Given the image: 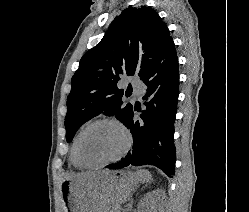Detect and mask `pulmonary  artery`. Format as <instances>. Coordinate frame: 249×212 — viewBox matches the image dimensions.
<instances>
[{
  "instance_id": "obj_1",
  "label": "pulmonary artery",
  "mask_w": 249,
  "mask_h": 212,
  "mask_svg": "<svg viewBox=\"0 0 249 212\" xmlns=\"http://www.w3.org/2000/svg\"><path fill=\"white\" fill-rule=\"evenodd\" d=\"M133 91L137 98H141L144 94L145 87L143 84L140 83H134L133 85Z\"/></svg>"
}]
</instances>
